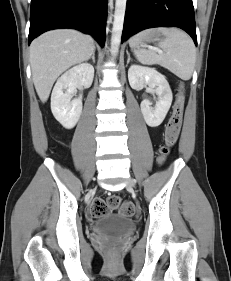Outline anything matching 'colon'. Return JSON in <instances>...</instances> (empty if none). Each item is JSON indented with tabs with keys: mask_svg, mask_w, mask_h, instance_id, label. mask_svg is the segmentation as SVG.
Segmentation results:
<instances>
[{
	"mask_svg": "<svg viewBox=\"0 0 231 281\" xmlns=\"http://www.w3.org/2000/svg\"><path fill=\"white\" fill-rule=\"evenodd\" d=\"M185 105V91L181 85L174 103L172 115L166 125L164 144L160 149L159 163L162 164L171 152L179 137ZM119 210L126 216L135 214V205L130 201H123L119 196H111L107 200L95 198L90 204V213L93 217L107 214L109 211Z\"/></svg>",
	"mask_w": 231,
	"mask_h": 281,
	"instance_id": "obj_1",
	"label": "colon"
}]
</instances>
